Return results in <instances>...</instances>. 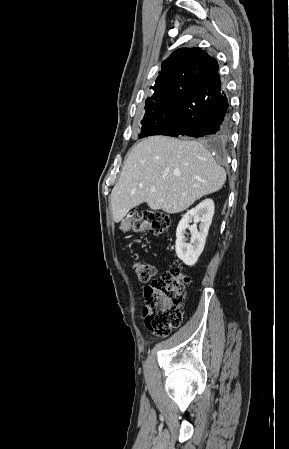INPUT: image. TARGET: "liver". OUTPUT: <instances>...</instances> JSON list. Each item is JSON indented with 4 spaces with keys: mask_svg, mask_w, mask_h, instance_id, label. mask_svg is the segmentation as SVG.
I'll return each instance as SVG.
<instances>
[{
    "mask_svg": "<svg viewBox=\"0 0 289 449\" xmlns=\"http://www.w3.org/2000/svg\"><path fill=\"white\" fill-rule=\"evenodd\" d=\"M226 172L202 143L166 136L148 137L127 156L111 192L113 220L118 223L134 207L179 213L204 195L219 191ZM155 187L154 192L150 191Z\"/></svg>",
    "mask_w": 289,
    "mask_h": 449,
    "instance_id": "1",
    "label": "liver"
}]
</instances>
